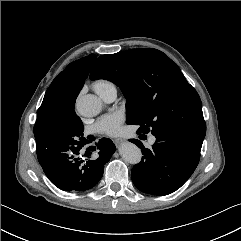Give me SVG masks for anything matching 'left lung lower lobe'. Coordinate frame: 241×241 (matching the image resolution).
Segmentation results:
<instances>
[{
	"label": "left lung lower lobe",
	"mask_w": 241,
	"mask_h": 241,
	"mask_svg": "<svg viewBox=\"0 0 241 241\" xmlns=\"http://www.w3.org/2000/svg\"><path fill=\"white\" fill-rule=\"evenodd\" d=\"M156 142L147 149L136 139L130 141L142 150V160L131 171L134 185L142 192L163 196L179 189L196 169L203 140L175 132L154 135Z\"/></svg>",
	"instance_id": "0a47b994"
}]
</instances>
